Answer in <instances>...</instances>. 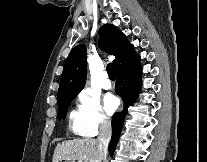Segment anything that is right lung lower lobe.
<instances>
[{
	"label": "right lung lower lobe",
	"instance_id": "98d812e1",
	"mask_svg": "<svg viewBox=\"0 0 207 162\" xmlns=\"http://www.w3.org/2000/svg\"><path fill=\"white\" fill-rule=\"evenodd\" d=\"M140 57L137 56L126 65L115 71L116 93L123 99L124 109L114 114L112 118V138L109 144V153L113 154L128 107L133 104L141 88Z\"/></svg>",
	"mask_w": 207,
	"mask_h": 162
}]
</instances>
